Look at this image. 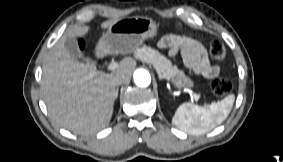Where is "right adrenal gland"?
I'll return each mask as SVG.
<instances>
[{"mask_svg":"<svg viewBox=\"0 0 283 162\" xmlns=\"http://www.w3.org/2000/svg\"><path fill=\"white\" fill-rule=\"evenodd\" d=\"M118 88L116 89V95H115V98L117 99V97H118Z\"/></svg>","mask_w":283,"mask_h":162,"instance_id":"1","label":"right adrenal gland"}]
</instances>
